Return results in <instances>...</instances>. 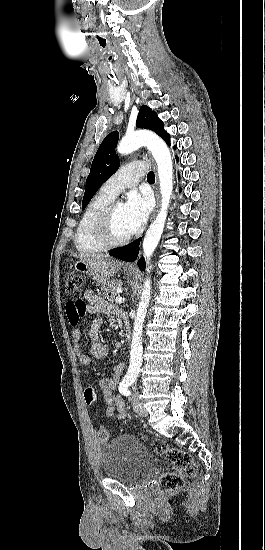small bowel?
I'll use <instances>...</instances> for the list:
<instances>
[{"mask_svg": "<svg viewBox=\"0 0 265 550\" xmlns=\"http://www.w3.org/2000/svg\"><path fill=\"white\" fill-rule=\"evenodd\" d=\"M85 309L83 314H118L122 317L125 315L120 312L115 306L108 304L99 296H97L92 290H87L83 295ZM84 302V301H83ZM85 303V302H84ZM66 312L69 315L75 314L77 309L73 307L70 302L67 304ZM102 320L100 317H96L89 327V340H90V355L83 353L80 347L81 330L79 326H74L72 330V343L74 348V354L78 361L83 365H89L94 359H103L109 355V346L100 340V328ZM124 370V363H119L114 367L113 374L110 378L100 380L99 387L104 396L106 403L105 414L107 417L114 420H123L126 418L127 411L122 397L115 393Z\"/></svg>", "mask_w": 265, "mask_h": 550, "instance_id": "obj_1", "label": "small bowel"}]
</instances>
